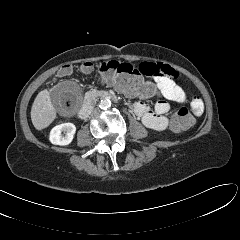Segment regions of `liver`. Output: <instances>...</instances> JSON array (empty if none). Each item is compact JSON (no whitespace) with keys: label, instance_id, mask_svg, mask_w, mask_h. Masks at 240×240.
Wrapping results in <instances>:
<instances>
[{"label":"liver","instance_id":"6515ba94","mask_svg":"<svg viewBox=\"0 0 240 240\" xmlns=\"http://www.w3.org/2000/svg\"><path fill=\"white\" fill-rule=\"evenodd\" d=\"M56 118V110L51 102L48 90H43L36 96L31 108V120L37 130L48 127Z\"/></svg>","mask_w":240,"mask_h":240}]
</instances>
